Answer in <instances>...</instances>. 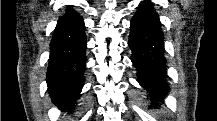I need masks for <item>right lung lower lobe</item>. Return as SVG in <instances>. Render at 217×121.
<instances>
[{
    "label": "right lung lower lobe",
    "mask_w": 217,
    "mask_h": 121,
    "mask_svg": "<svg viewBox=\"0 0 217 121\" xmlns=\"http://www.w3.org/2000/svg\"><path fill=\"white\" fill-rule=\"evenodd\" d=\"M83 19L72 8L60 17L50 43L48 91L61 109L74 105L81 92L86 63Z\"/></svg>",
    "instance_id": "obj_1"
}]
</instances>
